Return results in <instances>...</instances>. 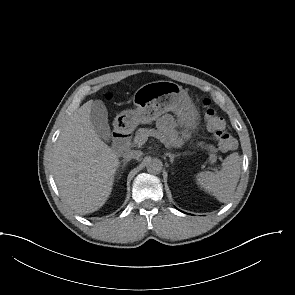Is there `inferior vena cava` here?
<instances>
[{"instance_id": "1", "label": "inferior vena cava", "mask_w": 295, "mask_h": 295, "mask_svg": "<svg viewBox=\"0 0 295 295\" xmlns=\"http://www.w3.org/2000/svg\"><path fill=\"white\" fill-rule=\"evenodd\" d=\"M142 152L140 150H132L130 152L127 153V155L125 156V159H140L142 156Z\"/></svg>"}]
</instances>
